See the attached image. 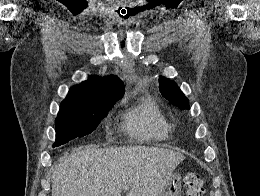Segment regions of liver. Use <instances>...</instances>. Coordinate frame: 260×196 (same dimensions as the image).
<instances>
[{
	"label": "liver",
	"instance_id": "liver-1",
	"mask_svg": "<svg viewBox=\"0 0 260 196\" xmlns=\"http://www.w3.org/2000/svg\"><path fill=\"white\" fill-rule=\"evenodd\" d=\"M185 156L163 148H76L52 174V196H160Z\"/></svg>",
	"mask_w": 260,
	"mask_h": 196
}]
</instances>
